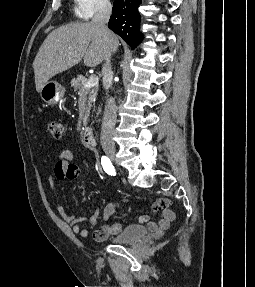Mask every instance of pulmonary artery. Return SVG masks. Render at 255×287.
Listing matches in <instances>:
<instances>
[{
	"instance_id": "pulmonary-artery-1",
	"label": "pulmonary artery",
	"mask_w": 255,
	"mask_h": 287,
	"mask_svg": "<svg viewBox=\"0 0 255 287\" xmlns=\"http://www.w3.org/2000/svg\"><path fill=\"white\" fill-rule=\"evenodd\" d=\"M122 33H131V32H122ZM126 39H129V38H126Z\"/></svg>"
}]
</instances>
